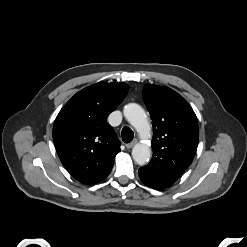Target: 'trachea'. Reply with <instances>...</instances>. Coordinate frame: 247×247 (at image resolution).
<instances>
[{"label": "trachea", "instance_id": "3493384b", "mask_svg": "<svg viewBox=\"0 0 247 247\" xmlns=\"http://www.w3.org/2000/svg\"><path fill=\"white\" fill-rule=\"evenodd\" d=\"M121 135H122V140L125 143L131 142L132 139L134 138L133 131L127 126L122 129Z\"/></svg>", "mask_w": 247, "mask_h": 247}]
</instances>
